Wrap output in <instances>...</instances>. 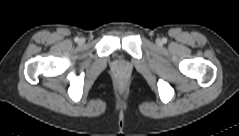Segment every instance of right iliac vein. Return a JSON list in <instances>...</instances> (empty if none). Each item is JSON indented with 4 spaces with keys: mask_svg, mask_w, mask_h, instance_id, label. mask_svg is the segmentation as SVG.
<instances>
[{
    "mask_svg": "<svg viewBox=\"0 0 239 136\" xmlns=\"http://www.w3.org/2000/svg\"><path fill=\"white\" fill-rule=\"evenodd\" d=\"M83 42H84V39L81 38V39L79 40V43H83Z\"/></svg>",
    "mask_w": 239,
    "mask_h": 136,
    "instance_id": "1",
    "label": "right iliac vein"
}]
</instances>
